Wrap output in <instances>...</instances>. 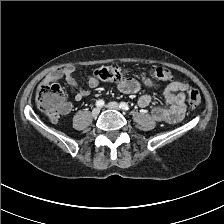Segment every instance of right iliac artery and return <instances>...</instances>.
<instances>
[{
  "label": "right iliac artery",
  "mask_w": 224,
  "mask_h": 224,
  "mask_svg": "<svg viewBox=\"0 0 224 224\" xmlns=\"http://www.w3.org/2000/svg\"><path fill=\"white\" fill-rule=\"evenodd\" d=\"M104 104H105V102H104V100H102V99H100V100H98V101L96 102V106H97V107H103Z\"/></svg>",
  "instance_id": "obj_1"
}]
</instances>
